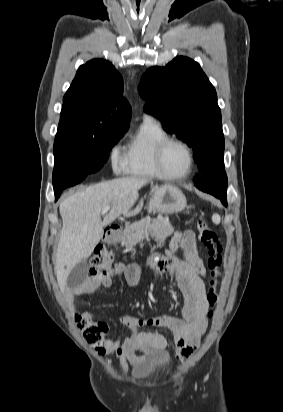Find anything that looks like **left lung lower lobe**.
Masks as SVG:
<instances>
[{"mask_svg": "<svg viewBox=\"0 0 283 412\" xmlns=\"http://www.w3.org/2000/svg\"><path fill=\"white\" fill-rule=\"evenodd\" d=\"M213 157V167L210 170L200 171L202 175L196 178V187L219 198L223 205L227 206V176L224 169L223 154H214ZM215 183H224L226 191L224 193L213 191L212 186Z\"/></svg>", "mask_w": 283, "mask_h": 412, "instance_id": "left-lung-lower-lobe-1", "label": "left lung lower lobe"}]
</instances>
